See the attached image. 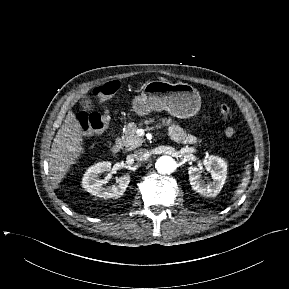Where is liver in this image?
<instances>
[{"label": "liver", "instance_id": "6515ba94", "mask_svg": "<svg viewBox=\"0 0 289 289\" xmlns=\"http://www.w3.org/2000/svg\"><path fill=\"white\" fill-rule=\"evenodd\" d=\"M82 141V127L75 114L69 111L51 146L49 170L53 188H58L70 166L83 153Z\"/></svg>", "mask_w": 289, "mask_h": 289}]
</instances>
